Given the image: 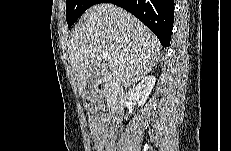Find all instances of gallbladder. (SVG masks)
I'll list each match as a JSON object with an SVG mask.
<instances>
[{
    "mask_svg": "<svg viewBox=\"0 0 231 151\" xmlns=\"http://www.w3.org/2000/svg\"><path fill=\"white\" fill-rule=\"evenodd\" d=\"M100 78V73L98 69H95L92 74L88 77L87 84L82 92V97L85 99H91L93 95V90L95 88V85Z\"/></svg>",
    "mask_w": 231,
    "mask_h": 151,
    "instance_id": "bac80fb5",
    "label": "gallbladder"
}]
</instances>
